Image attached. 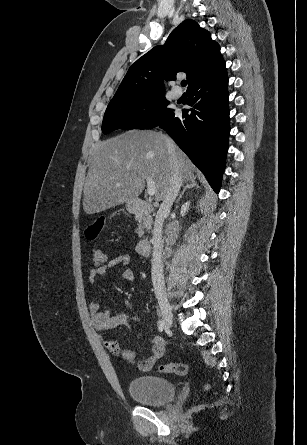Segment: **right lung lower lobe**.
Returning <instances> with one entry per match:
<instances>
[{"instance_id": "obj_1", "label": "right lung lower lobe", "mask_w": 307, "mask_h": 445, "mask_svg": "<svg viewBox=\"0 0 307 445\" xmlns=\"http://www.w3.org/2000/svg\"><path fill=\"white\" fill-rule=\"evenodd\" d=\"M228 76L225 62L187 89L189 105L179 119L172 113L155 127L164 129L205 174L215 192L220 189L228 149Z\"/></svg>"}]
</instances>
